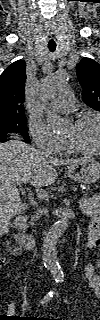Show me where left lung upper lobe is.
<instances>
[{
    "label": "left lung upper lobe",
    "instance_id": "1",
    "mask_svg": "<svg viewBox=\"0 0 100 320\" xmlns=\"http://www.w3.org/2000/svg\"><path fill=\"white\" fill-rule=\"evenodd\" d=\"M76 71L83 88V101L100 111V65L90 58H82Z\"/></svg>",
    "mask_w": 100,
    "mask_h": 320
}]
</instances>
